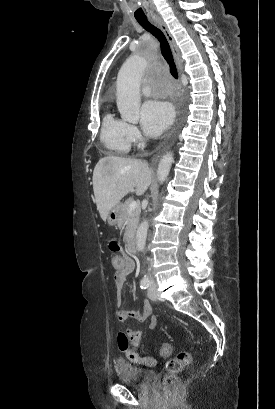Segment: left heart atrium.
<instances>
[{"label":"left heart atrium","instance_id":"39dd6f15","mask_svg":"<svg viewBox=\"0 0 275 409\" xmlns=\"http://www.w3.org/2000/svg\"><path fill=\"white\" fill-rule=\"evenodd\" d=\"M141 117L146 133L157 136L171 124L173 109L167 102L150 100L143 105Z\"/></svg>","mask_w":275,"mask_h":409}]
</instances>
